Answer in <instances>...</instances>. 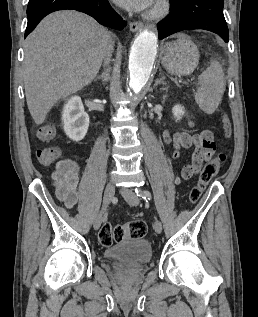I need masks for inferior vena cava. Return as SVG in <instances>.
Wrapping results in <instances>:
<instances>
[{
	"label": "inferior vena cava",
	"mask_w": 258,
	"mask_h": 317,
	"mask_svg": "<svg viewBox=\"0 0 258 317\" xmlns=\"http://www.w3.org/2000/svg\"><path fill=\"white\" fill-rule=\"evenodd\" d=\"M114 38H111L104 54V64H109L111 52H113Z\"/></svg>",
	"instance_id": "602c4592"
}]
</instances>
